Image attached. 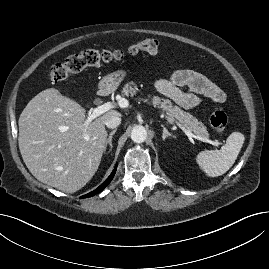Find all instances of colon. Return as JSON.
Masks as SVG:
<instances>
[{
  "mask_svg": "<svg viewBox=\"0 0 269 269\" xmlns=\"http://www.w3.org/2000/svg\"><path fill=\"white\" fill-rule=\"evenodd\" d=\"M159 50V43L156 39L146 38L132 42L126 49H87L79 54L68 57L64 62L52 66L49 77L53 83L65 80L72 74L81 72L87 67L122 60L126 55L139 53L156 54ZM227 115L221 109L211 112L209 122L216 133H223L227 125Z\"/></svg>",
  "mask_w": 269,
  "mask_h": 269,
  "instance_id": "obj_1",
  "label": "colon"
}]
</instances>
